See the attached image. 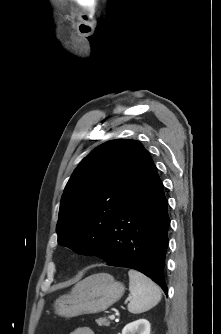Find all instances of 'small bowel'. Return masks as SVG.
<instances>
[{
  "mask_svg": "<svg viewBox=\"0 0 221 334\" xmlns=\"http://www.w3.org/2000/svg\"><path fill=\"white\" fill-rule=\"evenodd\" d=\"M70 334H94V332L88 327H79L73 330Z\"/></svg>",
  "mask_w": 221,
  "mask_h": 334,
  "instance_id": "1",
  "label": "small bowel"
}]
</instances>
